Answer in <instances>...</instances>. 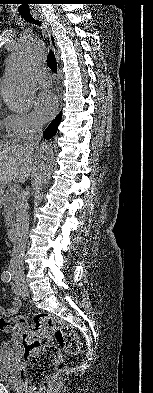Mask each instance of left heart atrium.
<instances>
[{
	"mask_svg": "<svg viewBox=\"0 0 153 393\" xmlns=\"http://www.w3.org/2000/svg\"><path fill=\"white\" fill-rule=\"evenodd\" d=\"M57 108V97L49 90L40 92L35 99L34 111L37 118L42 122L49 120L56 113Z\"/></svg>",
	"mask_w": 153,
	"mask_h": 393,
	"instance_id": "1",
	"label": "left heart atrium"
}]
</instances>
